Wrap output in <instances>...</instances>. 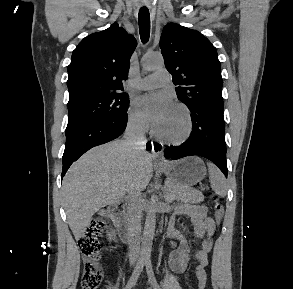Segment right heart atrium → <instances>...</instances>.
Listing matches in <instances>:
<instances>
[{"instance_id":"right-heart-atrium-1","label":"right heart atrium","mask_w":293,"mask_h":289,"mask_svg":"<svg viewBox=\"0 0 293 289\" xmlns=\"http://www.w3.org/2000/svg\"><path fill=\"white\" fill-rule=\"evenodd\" d=\"M127 123L128 127L137 134H144L149 128L147 119L134 104L128 109Z\"/></svg>"}]
</instances>
